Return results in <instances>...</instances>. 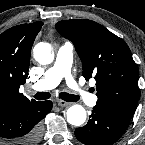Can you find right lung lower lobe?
<instances>
[{"label":"right lung lower lobe","mask_w":145,"mask_h":145,"mask_svg":"<svg viewBox=\"0 0 145 145\" xmlns=\"http://www.w3.org/2000/svg\"><path fill=\"white\" fill-rule=\"evenodd\" d=\"M51 101H31L0 108V139L9 145H35L40 121L52 109Z\"/></svg>","instance_id":"right-lung-lower-lobe-1"}]
</instances>
